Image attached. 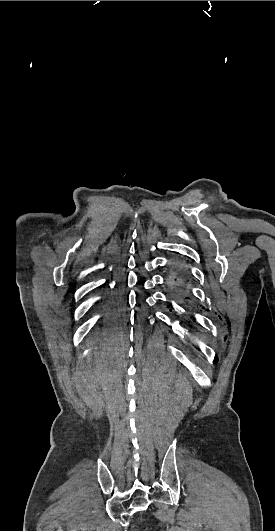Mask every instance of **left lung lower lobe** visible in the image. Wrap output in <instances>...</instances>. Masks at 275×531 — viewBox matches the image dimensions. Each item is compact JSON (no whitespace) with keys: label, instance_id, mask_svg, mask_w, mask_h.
Listing matches in <instances>:
<instances>
[{"label":"left lung lower lobe","instance_id":"0a47b994","mask_svg":"<svg viewBox=\"0 0 275 531\" xmlns=\"http://www.w3.org/2000/svg\"><path fill=\"white\" fill-rule=\"evenodd\" d=\"M190 278V272L183 262L175 259L169 268L166 282L171 298L183 308L193 303V297L188 288Z\"/></svg>","mask_w":275,"mask_h":531}]
</instances>
